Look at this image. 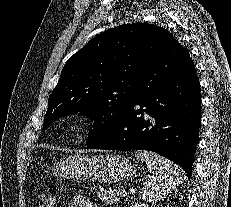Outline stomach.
Instances as JSON below:
<instances>
[{
	"instance_id": "0dacf381",
	"label": "stomach",
	"mask_w": 231,
	"mask_h": 207,
	"mask_svg": "<svg viewBox=\"0 0 231 207\" xmlns=\"http://www.w3.org/2000/svg\"><path fill=\"white\" fill-rule=\"evenodd\" d=\"M61 177L73 180H95L101 183L121 182L136 174L134 165L120 155H72L54 167Z\"/></svg>"
}]
</instances>
